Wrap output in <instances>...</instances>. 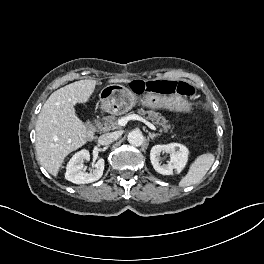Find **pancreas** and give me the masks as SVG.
<instances>
[{"label": "pancreas", "mask_w": 264, "mask_h": 264, "mask_svg": "<svg viewBox=\"0 0 264 264\" xmlns=\"http://www.w3.org/2000/svg\"><path fill=\"white\" fill-rule=\"evenodd\" d=\"M137 113L141 116H144L147 120L152 121L154 125L161 126V131H168L169 129H173V125L168 124V120H166L160 113L149 110L145 111L144 109H138ZM118 118L115 116H105L100 120L95 121V126L100 132H107L111 130H115L118 128Z\"/></svg>", "instance_id": "obj_1"}]
</instances>
